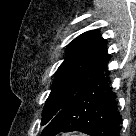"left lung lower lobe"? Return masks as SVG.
Segmentation results:
<instances>
[{
  "instance_id": "0a47b994",
  "label": "left lung lower lobe",
  "mask_w": 136,
  "mask_h": 136,
  "mask_svg": "<svg viewBox=\"0 0 136 136\" xmlns=\"http://www.w3.org/2000/svg\"><path fill=\"white\" fill-rule=\"evenodd\" d=\"M107 62L78 90L75 96L46 125L42 136L81 131L90 136H119L120 114L104 76Z\"/></svg>"
}]
</instances>
